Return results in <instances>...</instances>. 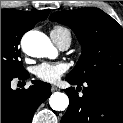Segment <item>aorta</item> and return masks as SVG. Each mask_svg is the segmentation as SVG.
Returning a JSON list of instances; mask_svg holds the SVG:
<instances>
[{
    "label": "aorta",
    "mask_w": 123,
    "mask_h": 123,
    "mask_svg": "<svg viewBox=\"0 0 123 123\" xmlns=\"http://www.w3.org/2000/svg\"><path fill=\"white\" fill-rule=\"evenodd\" d=\"M23 51L32 57H47L54 51L49 38L38 31H30L24 35L21 41ZM49 104L53 110L64 111L69 105V98L65 93L55 92L49 98Z\"/></svg>",
    "instance_id": "1"
}]
</instances>
